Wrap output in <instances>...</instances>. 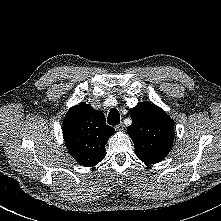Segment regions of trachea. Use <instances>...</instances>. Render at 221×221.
Masks as SVG:
<instances>
[{"label": "trachea", "mask_w": 221, "mask_h": 221, "mask_svg": "<svg viewBox=\"0 0 221 221\" xmlns=\"http://www.w3.org/2000/svg\"><path fill=\"white\" fill-rule=\"evenodd\" d=\"M107 122L109 125H118L120 123V114L119 111L115 108H112L109 112Z\"/></svg>", "instance_id": "1"}]
</instances>
